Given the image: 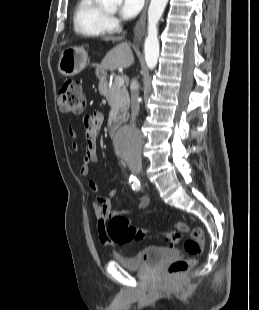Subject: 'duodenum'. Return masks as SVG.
Here are the masks:
<instances>
[{
    "label": "duodenum",
    "instance_id": "duodenum-1",
    "mask_svg": "<svg viewBox=\"0 0 259 310\" xmlns=\"http://www.w3.org/2000/svg\"><path fill=\"white\" fill-rule=\"evenodd\" d=\"M108 130H109V134L111 136H114L116 134V130H117V123L114 120H111L108 123Z\"/></svg>",
    "mask_w": 259,
    "mask_h": 310
}]
</instances>
